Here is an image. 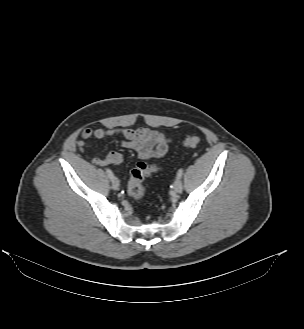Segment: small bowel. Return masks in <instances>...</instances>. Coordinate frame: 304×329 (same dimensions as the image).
I'll use <instances>...</instances> for the list:
<instances>
[{"label":"small bowel","instance_id":"small-bowel-1","mask_svg":"<svg viewBox=\"0 0 304 329\" xmlns=\"http://www.w3.org/2000/svg\"><path fill=\"white\" fill-rule=\"evenodd\" d=\"M119 134L122 136V146L136 152L140 159L162 158L169 150L170 140L161 132L149 128H120V129H91L86 128L82 132V140L78 142L80 150L89 147L91 138L103 139ZM91 161L98 166L119 165L123 161L120 153L112 151L103 158L94 157Z\"/></svg>","mask_w":304,"mask_h":329}]
</instances>
